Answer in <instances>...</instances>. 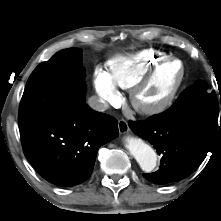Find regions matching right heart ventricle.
<instances>
[{"label":"right heart ventricle","mask_w":221,"mask_h":221,"mask_svg":"<svg viewBox=\"0 0 221 221\" xmlns=\"http://www.w3.org/2000/svg\"><path fill=\"white\" fill-rule=\"evenodd\" d=\"M169 57L156 49H145L127 56H116L107 62L108 74L123 89H129L160 60Z\"/></svg>","instance_id":"e07e8e85"}]
</instances>
